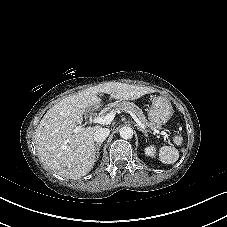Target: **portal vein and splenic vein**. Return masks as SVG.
<instances>
[{
	"label": "portal vein and splenic vein",
	"mask_w": 227,
	"mask_h": 227,
	"mask_svg": "<svg viewBox=\"0 0 227 227\" xmlns=\"http://www.w3.org/2000/svg\"><path fill=\"white\" fill-rule=\"evenodd\" d=\"M131 116L132 118L134 119V121L137 123V125H139L140 127L142 128H148L147 125L143 124L135 114H133L132 112L130 111H127ZM116 115V112H110L106 115H99V116H96L94 119H93V122L94 123H100V124H110L112 122V120L114 119ZM151 130H153L154 132H156L157 134H160V135H163L165 138L167 137V133L165 131H159L157 128H153V127H150ZM81 130V126H78V127H75L74 128V132L77 133Z\"/></svg>",
	"instance_id": "portal-vein-and-splenic-vein-1"
}]
</instances>
